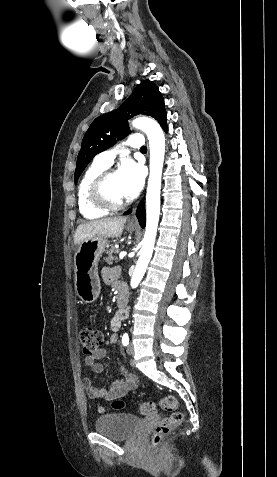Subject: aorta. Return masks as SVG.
Returning a JSON list of instances; mask_svg holds the SVG:
<instances>
[{"mask_svg":"<svg viewBox=\"0 0 277 477\" xmlns=\"http://www.w3.org/2000/svg\"><path fill=\"white\" fill-rule=\"evenodd\" d=\"M148 137L150 147V174L146 194V228L140 257L131 278V287L136 288L142 280L152 257L160 215L161 177L165 155V137L160 125L153 119L140 117L132 122Z\"/></svg>","mask_w":277,"mask_h":477,"instance_id":"obj_1","label":"aorta"}]
</instances>
